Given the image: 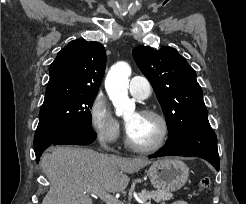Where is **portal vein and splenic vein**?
<instances>
[{
  "label": "portal vein and splenic vein",
  "instance_id": "18ae733b",
  "mask_svg": "<svg viewBox=\"0 0 246 204\" xmlns=\"http://www.w3.org/2000/svg\"><path fill=\"white\" fill-rule=\"evenodd\" d=\"M89 191L91 193L98 195L103 201L106 202V204H124L122 201L115 198L113 195H111L110 193H108L102 188L94 186V187H91ZM145 204H151V203L148 202Z\"/></svg>",
  "mask_w": 246,
  "mask_h": 204
}]
</instances>
